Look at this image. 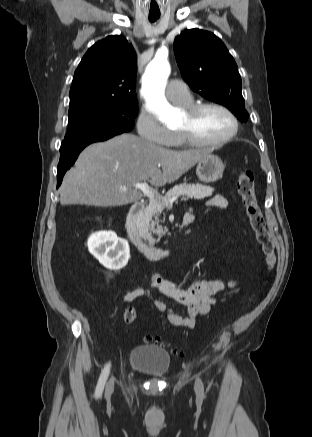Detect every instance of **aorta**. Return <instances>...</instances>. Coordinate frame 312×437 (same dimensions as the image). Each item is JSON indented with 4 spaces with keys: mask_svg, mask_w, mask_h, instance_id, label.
I'll list each match as a JSON object with an SVG mask.
<instances>
[{
    "mask_svg": "<svg viewBox=\"0 0 312 437\" xmlns=\"http://www.w3.org/2000/svg\"><path fill=\"white\" fill-rule=\"evenodd\" d=\"M170 74V65L166 59L155 57L147 66L142 77L141 93L147 107L157 119L169 124L175 120V110L165 98L166 81Z\"/></svg>",
    "mask_w": 312,
    "mask_h": 437,
    "instance_id": "aorta-1",
    "label": "aorta"
}]
</instances>
